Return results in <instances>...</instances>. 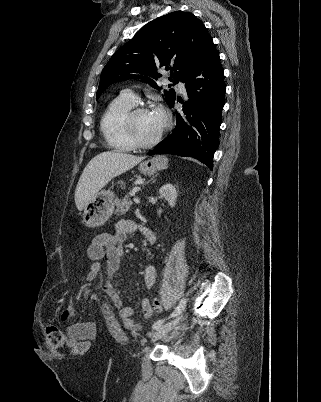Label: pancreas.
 <instances>
[{"mask_svg":"<svg viewBox=\"0 0 321 402\" xmlns=\"http://www.w3.org/2000/svg\"><path fill=\"white\" fill-rule=\"evenodd\" d=\"M115 203L117 207L115 214L117 217L125 215L133 204L129 196H126L122 200H116Z\"/></svg>","mask_w":321,"mask_h":402,"instance_id":"1","label":"pancreas"}]
</instances>
